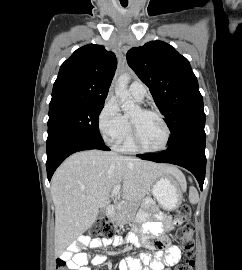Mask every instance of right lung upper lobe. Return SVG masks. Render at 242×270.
Here are the masks:
<instances>
[{"label":"right lung upper lobe","mask_w":242,"mask_h":270,"mask_svg":"<svg viewBox=\"0 0 242 270\" xmlns=\"http://www.w3.org/2000/svg\"><path fill=\"white\" fill-rule=\"evenodd\" d=\"M117 60L101 45L77 49L60 67L49 106L62 103L104 102Z\"/></svg>","instance_id":"obj_1"}]
</instances>
